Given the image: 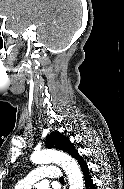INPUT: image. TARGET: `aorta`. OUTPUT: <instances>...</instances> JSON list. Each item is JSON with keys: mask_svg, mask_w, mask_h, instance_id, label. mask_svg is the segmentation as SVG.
Masks as SVG:
<instances>
[{"mask_svg": "<svg viewBox=\"0 0 124 189\" xmlns=\"http://www.w3.org/2000/svg\"><path fill=\"white\" fill-rule=\"evenodd\" d=\"M31 161L35 164L56 163L65 170L69 180V189H83L84 181L81 170L76 161L69 155L56 150L35 151L31 155Z\"/></svg>", "mask_w": 124, "mask_h": 189, "instance_id": "aorta-1", "label": "aorta"}]
</instances>
